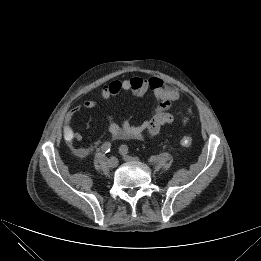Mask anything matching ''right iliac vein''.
Here are the masks:
<instances>
[{
	"label": "right iliac vein",
	"instance_id": "right-iliac-vein-1",
	"mask_svg": "<svg viewBox=\"0 0 261 261\" xmlns=\"http://www.w3.org/2000/svg\"><path fill=\"white\" fill-rule=\"evenodd\" d=\"M107 163L110 168H115L118 165V159L112 156L111 158L108 159Z\"/></svg>",
	"mask_w": 261,
	"mask_h": 261
}]
</instances>
